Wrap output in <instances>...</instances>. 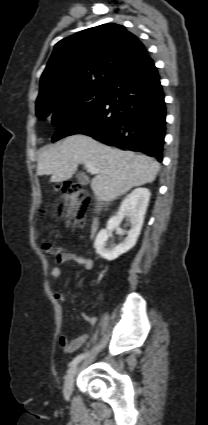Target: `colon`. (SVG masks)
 Segmentation results:
<instances>
[{
  "instance_id": "5ec220e1",
  "label": "colon",
  "mask_w": 208,
  "mask_h": 425,
  "mask_svg": "<svg viewBox=\"0 0 208 425\" xmlns=\"http://www.w3.org/2000/svg\"><path fill=\"white\" fill-rule=\"evenodd\" d=\"M57 191L62 195L66 203V219L71 227L79 226L83 223L85 208L88 201L87 192L82 187L73 182H65L57 187ZM45 253L49 256H57L60 248L46 243L43 245Z\"/></svg>"
}]
</instances>
